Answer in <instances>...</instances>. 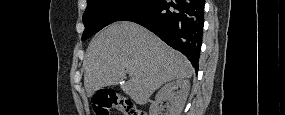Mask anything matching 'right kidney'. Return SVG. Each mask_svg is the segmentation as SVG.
Returning a JSON list of instances; mask_svg holds the SVG:
<instances>
[{"mask_svg":"<svg viewBox=\"0 0 285 115\" xmlns=\"http://www.w3.org/2000/svg\"><path fill=\"white\" fill-rule=\"evenodd\" d=\"M190 90L188 80H175L165 84L156 94L155 103L150 106V115H160L162 102L169 101L170 106L165 115H180Z\"/></svg>","mask_w":285,"mask_h":115,"instance_id":"ca27d5eb","label":"right kidney"}]
</instances>
